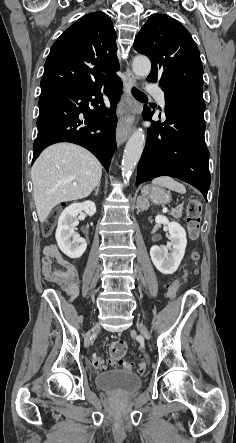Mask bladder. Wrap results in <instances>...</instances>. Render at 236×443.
Segmentation results:
<instances>
[{
    "instance_id": "1",
    "label": "bladder",
    "mask_w": 236,
    "mask_h": 443,
    "mask_svg": "<svg viewBox=\"0 0 236 443\" xmlns=\"http://www.w3.org/2000/svg\"><path fill=\"white\" fill-rule=\"evenodd\" d=\"M142 384V377L129 370L106 371L95 378L98 389L122 394L135 392Z\"/></svg>"
}]
</instances>
